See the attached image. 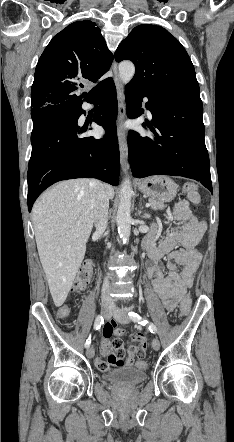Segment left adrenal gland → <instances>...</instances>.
Listing matches in <instances>:
<instances>
[{"label":"left adrenal gland","mask_w":234,"mask_h":442,"mask_svg":"<svg viewBox=\"0 0 234 442\" xmlns=\"http://www.w3.org/2000/svg\"><path fill=\"white\" fill-rule=\"evenodd\" d=\"M141 213H142L141 210H139V211H138V214L141 215ZM142 218L149 219V218H150V214H144V215L142 216Z\"/></svg>","instance_id":"obj_1"}]
</instances>
